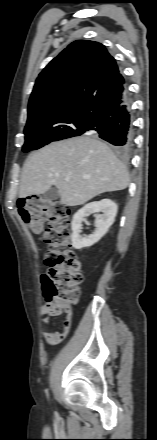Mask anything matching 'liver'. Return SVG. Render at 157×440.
Wrapping results in <instances>:
<instances>
[{"label":"liver","instance_id":"obj_1","mask_svg":"<svg viewBox=\"0 0 157 440\" xmlns=\"http://www.w3.org/2000/svg\"><path fill=\"white\" fill-rule=\"evenodd\" d=\"M53 185L62 204L77 206L101 193L126 189L129 174L104 142L94 136L75 137L53 142L27 157L19 196L44 194Z\"/></svg>","mask_w":157,"mask_h":440}]
</instances>
